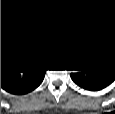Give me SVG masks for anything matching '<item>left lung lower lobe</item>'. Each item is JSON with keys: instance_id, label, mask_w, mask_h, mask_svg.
<instances>
[{"instance_id": "obj_1", "label": "left lung lower lobe", "mask_w": 115, "mask_h": 114, "mask_svg": "<svg viewBox=\"0 0 115 114\" xmlns=\"http://www.w3.org/2000/svg\"><path fill=\"white\" fill-rule=\"evenodd\" d=\"M73 82L91 91L101 90L115 80V70L95 61L79 62V72L70 74Z\"/></svg>"}]
</instances>
